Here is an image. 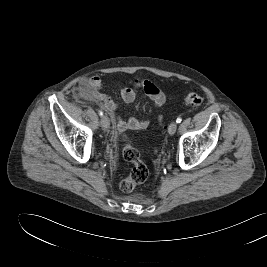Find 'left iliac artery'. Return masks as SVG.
<instances>
[{"label": "left iliac artery", "instance_id": "44dca946", "mask_svg": "<svg viewBox=\"0 0 267 267\" xmlns=\"http://www.w3.org/2000/svg\"><path fill=\"white\" fill-rule=\"evenodd\" d=\"M182 121V118L181 117H178L177 119H176V122L177 123H180Z\"/></svg>", "mask_w": 267, "mask_h": 267}]
</instances>
